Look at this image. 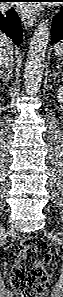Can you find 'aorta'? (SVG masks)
Here are the masks:
<instances>
[{
  "mask_svg": "<svg viewBox=\"0 0 63 297\" xmlns=\"http://www.w3.org/2000/svg\"><path fill=\"white\" fill-rule=\"evenodd\" d=\"M49 36V23L47 20H42L31 38L24 69V86L28 95H34L39 91Z\"/></svg>",
  "mask_w": 63,
  "mask_h": 297,
  "instance_id": "1",
  "label": "aorta"
}]
</instances>
